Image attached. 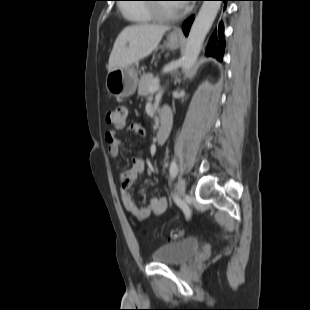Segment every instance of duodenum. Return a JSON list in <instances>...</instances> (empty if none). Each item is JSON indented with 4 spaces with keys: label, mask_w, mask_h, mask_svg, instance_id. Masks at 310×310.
I'll return each instance as SVG.
<instances>
[{
    "label": "duodenum",
    "mask_w": 310,
    "mask_h": 310,
    "mask_svg": "<svg viewBox=\"0 0 310 310\" xmlns=\"http://www.w3.org/2000/svg\"><path fill=\"white\" fill-rule=\"evenodd\" d=\"M160 126L156 134V140L159 144H163L169 137L172 130V119L170 111L163 108L160 110Z\"/></svg>",
    "instance_id": "obj_1"
}]
</instances>
